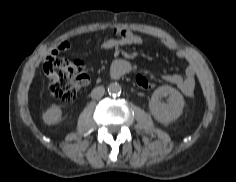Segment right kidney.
<instances>
[{
  "label": "right kidney",
  "mask_w": 236,
  "mask_h": 182,
  "mask_svg": "<svg viewBox=\"0 0 236 182\" xmlns=\"http://www.w3.org/2000/svg\"><path fill=\"white\" fill-rule=\"evenodd\" d=\"M62 111L58 106H52L43 113V121L47 125H54L61 121Z\"/></svg>",
  "instance_id": "obj_1"
}]
</instances>
